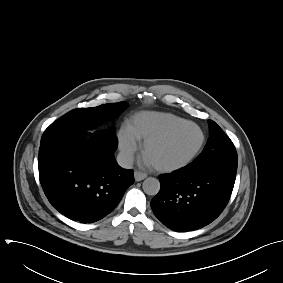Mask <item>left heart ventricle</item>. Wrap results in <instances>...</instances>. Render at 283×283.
I'll return each instance as SVG.
<instances>
[{"label": "left heart ventricle", "instance_id": "1", "mask_svg": "<svg viewBox=\"0 0 283 283\" xmlns=\"http://www.w3.org/2000/svg\"><path fill=\"white\" fill-rule=\"evenodd\" d=\"M199 140V131L191 125H184L164 140L149 145L145 158L153 165H172L188 157Z\"/></svg>", "mask_w": 283, "mask_h": 283}]
</instances>
